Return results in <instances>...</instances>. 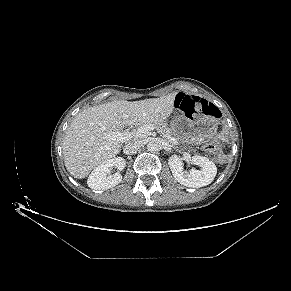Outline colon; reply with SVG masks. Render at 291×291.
Here are the masks:
<instances>
[{
  "label": "colon",
  "mask_w": 291,
  "mask_h": 291,
  "mask_svg": "<svg viewBox=\"0 0 291 291\" xmlns=\"http://www.w3.org/2000/svg\"><path fill=\"white\" fill-rule=\"evenodd\" d=\"M175 106L185 115L205 114L214 117L220 116L219 109L209 101L191 95L179 94L175 100ZM205 150L216 155L219 164L226 163V157L221 153L222 146L218 139H214L205 145Z\"/></svg>",
  "instance_id": "colon-1"
}]
</instances>
